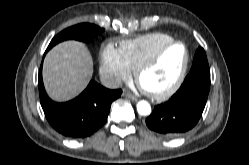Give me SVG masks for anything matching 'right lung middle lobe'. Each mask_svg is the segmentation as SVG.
I'll return each instance as SVG.
<instances>
[{
	"label": "right lung middle lobe",
	"mask_w": 249,
	"mask_h": 165,
	"mask_svg": "<svg viewBox=\"0 0 249 165\" xmlns=\"http://www.w3.org/2000/svg\"><path fill=\"white\" fill-rule=\"evenodd\" d=\"M103 31V28L89 23H82L69 27L60 32L52 39L47 50L51 49L57 43L67 39H75L79 41L89 42L91 39L101 34Z\"/></svg>",
	"instance_id": "dd1d6c3e"
}]
</instances>
